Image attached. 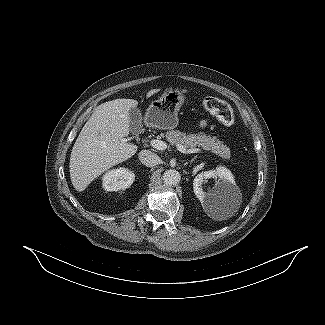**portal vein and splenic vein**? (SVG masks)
Wrapping results in <instances>:
<instances>
[{
  "label": "portal vein and splenic vein",
  "instance_id": "1",
  "mask_svg": "<svg viewBox=\"0 0 325 325\" xmlns=\"http://www.w3.org/2000/svg\"><path fill=\"white\" fill-rule=\"evenodd\" d=\"M151 146L157 150H165L167 148V144L164 141L157 140V139H152L150 142ZM177 150H179L183 154H193V153H198L201 150L199 148H191V149H186L183 145H176Z\"/></svg>",
  "mask_w": 325,
  "mask_h": 325
}]
</instances>
